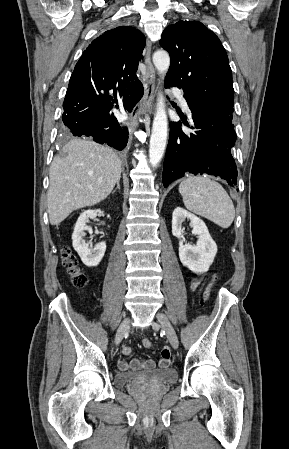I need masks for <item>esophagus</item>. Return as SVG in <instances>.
Returning <instances> with one entry per match:
<instances>
[{
    "label": "esophagus",
    "mask_w": 289,
    "mask_h": 449,
    "mask_svg": "<svg viewBox=\"0 0 289 449\" xmlns=\"http://www.w3.org/2000/svg\"><path fill=\"white\" fill-rule=\"evenodd\" d=\"M151 42L147 41L145 50L146 75L142 80L144 95L141 101L134 107L130 115L129 131L133 133L138 126V117L145 114L154 101L155 70L150 60Z\"/></svg>",
    "instance_id": "esophagus-1"
}]
</instances>
